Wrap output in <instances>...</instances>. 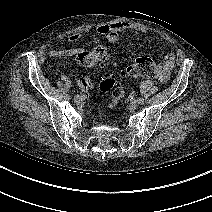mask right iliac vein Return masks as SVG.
Here are the masks:
<instances>
[{
	"mask_svg": "<svg viewBox=\"0 0 212 212\" xmlns=\"http://www.w3.org/2000/svg\"><path fill=\"white\" fill-rule=\"evenodd\" d=\"M73 99L75 102H79L81 100L79 95H75Z\"/></svg>",
	"mask_w": 212,
	"mask_h": 212,
	"instance_id": "obj_1",
	"label": "right iliac vein"
}]
</instances>
